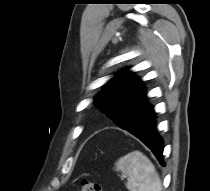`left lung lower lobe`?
<instances>
[{"label": "left lung lower lobe", "mask_w": 210, "mask_h": 191, "mask_svg": "<svg viewBox=\"0 0 210 191\" xmlns=\"http://www.w3.org/2000/svg\"><path fill=\"white\" fill-rule=\"evenodd\" d=\"M156 114L153 106L147 99L130 113V119L136 120V129L130 132L140 139L156 156L162 166H165L163 158V139L158 134L156 124Z\"/></svg>", "instance_id": "left-lung-lower-lobe-1"}]
</instances>
